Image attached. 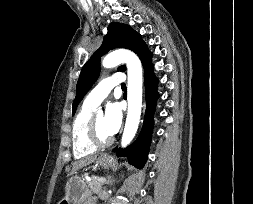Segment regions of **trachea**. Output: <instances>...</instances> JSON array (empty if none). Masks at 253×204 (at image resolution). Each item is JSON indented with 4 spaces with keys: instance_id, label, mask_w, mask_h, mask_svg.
Instances as JSON below:
<instances>
[{
    "instance_id": "1",
    "label": "trachea",
    "mask_w": 253,
    "mask_h": 204,
    "mask_svg": "<svg viewBox=\"0 0 253 204\" xmlns=\"http://www.w3.org/2000/svg\"><path fill=\"white\" fill-rule=\"evenodd\" d=\"M121 87H122V88H125V87H126L125 83H122V84H121Z\"/></svg>"
}]
</instances>
